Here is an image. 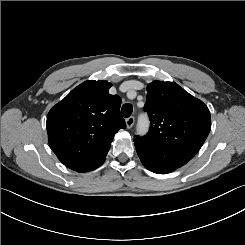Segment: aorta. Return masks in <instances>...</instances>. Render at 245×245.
Segmentation results:
<instances>
[{"mask_svg": "<svg viewBox=\"0 0 245 245\" xmlns=\"http://www.w3.org/2000/svg\"><path fill=\"white\" fill-rule=\"evenodd\" d=\"M148 122L149 121L147 118L142 119L138 125L137 131L141 134L146 133L148 130V124H149Z\"/></svg>", "mask_w": 245, "mask_h": 245, "instance_id": "aorta-1", "label": "aorta"}]
</instances>
